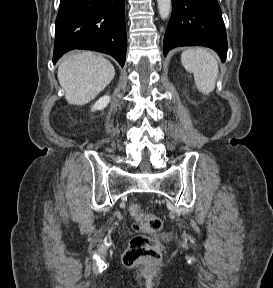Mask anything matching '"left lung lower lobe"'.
Returning a JSON list of instances; mask_svg holds the SVG:
<instances>
[{"instance_id": "0a47b994", "label": "left lung lower lobe", "mask_w": 273, "mask_h": 288, "mask_svg": "<svg viewBox=\"0 0 273 288\" xmlns=\"http://www.w3.org/2000/svg\"><path fill=\"white\" fill-rule=\"evenodd\" d=\"M195 45L214 49L225 61L228 45L217 0H172V13L164 36V55L174 47Z\"/></svg>"}]
</instances>
